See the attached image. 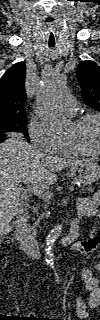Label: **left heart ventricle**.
Masks as SVG:
<instances>
[{
    "instance_id": "left-heart-ventricle-1",
    "label": "left heart ventricle",
    "mask_w": 100,
    "mask_h": 320,
    "mask_svg": "<svg viewBox=\"0 0 100 320\" xmlns=\"http://www.w3.org/2000/svg\"><path fill=\"white\" fill-rule=\"evenodd\" d=\"M65 136L76 139L87 149L96 150L100 140L98 123L95 120H89L79 127L72 123Z\"/></svg>"
}]
</instances>
